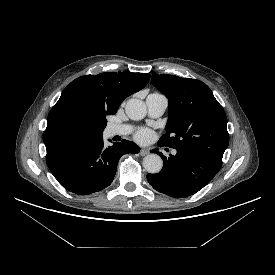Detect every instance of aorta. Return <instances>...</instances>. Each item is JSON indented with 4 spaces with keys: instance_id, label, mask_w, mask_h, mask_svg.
Wrapping results in <instances>:
<instances>
[{
    "instance_id": "aorta-1",
    "label": "aorta",
    "mask_w": 275,
    "mask_h": 275,
    "mask_svg": "<svg viewBox=\"0 0 275 275\" xmlns=\"http://www.w3.org/2000/svg\"><path fill=\"white\" fill-rule=\"evenodd\" d=\"M125 111L127 116L132 120H141L146 116V104L140 99H130L126 103ZM143 166L148 173H159L163 167V161L157 154H149L143 159Z\"/></svg>"
}]
</instances>
